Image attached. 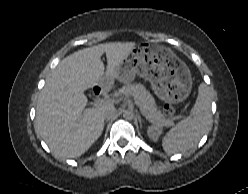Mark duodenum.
Wrapping results in <instances>:
<instances>
[{"label":"duodenum","instance_id":"410a0bca","mask_svg":"<svg viewBox=\"0 0 248 194\" xmlns=\"http://www.w3.org/2000/svg\"><path fill=\"white\" fill-rule=\"evenodd\" d=\"M105 89H106L105 85H97L93 87L91 94L94 98H98L104 93Z\"/></svg>","mask_w":248,"mask_h":194}]
</instances>
